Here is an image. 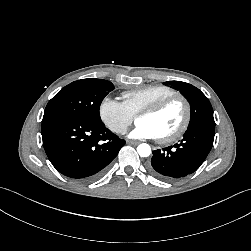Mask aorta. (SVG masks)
<instances>
[{
  "label": "aorta",
  "instance_id": "obj_1",
  "mask_svg": "<svg viewBox=\"0 0 251 251\" xmlns=\"http://www.w3.org/2000/svg\"><path fill=\"white\" fill-rule=\"evenodd\" d=\"M137 152L141 157H148L151 154V147L146 143H142L138 145Z\"/></svg>",
  "mask_w": 251,
  "mask_h": 251
}]
</instances>
